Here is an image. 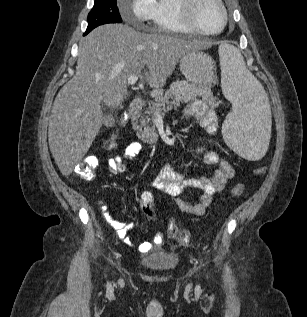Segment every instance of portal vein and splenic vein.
Listing matches in <instances>:
<instances>
[{
  "label": "portal vein and splenic vein",
  "mask_w": 307,
  "mask_h": 317,
  "mask_svg": "<svg viewBox=\"0 0 307 317\" xmlns=\"http://www.w3.org/2000/svg\"><path fill=\"white\" fill-rule=\"evenodd\" d=\"M138 81V76H131L127 79L129 85H134Z\"/></svg>",
  "instance_id": "obj_1"
}]
</instances>
